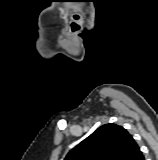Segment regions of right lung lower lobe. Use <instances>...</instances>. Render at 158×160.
<instances>
[{
	"label": "right lung lower lobe",
	"instance_id": "right-lung-lower-lobe-1",
	"mask_svg": "<svg viewBox=\"0 0 158 160\" xmlns=\"http://www.w3.org/2000/svg\"><path fill=\"white\" fill-rule=\"evenodd\" d=\"M136 160H145V159H144V155H143V154L139 155V156L136 158Z\"/></svg>",
	"mask_w": 158,
	"mask_h": 160
}]
</instances>
